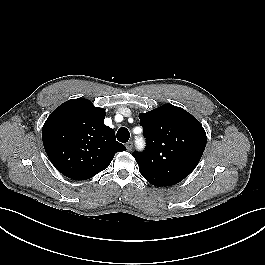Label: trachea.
<instances>
[{
  "label": "trachea",
  "instance_id": "trachea-1",
  "mask_svg": "<svg viewBox=\"0 0 265 265\" xmlns=\"http://www.w3.org/2000/svg\"><path fill=\"white\" fill-rule=\"evenodd\" d=\"M129 138H130V133H129L127 128L121 127L117 131V139H118V141H120L122 143H126L129 140Z\"/></svg>",
  "mask_w": 265,
  "mask_h": 265
}]
</instances>
